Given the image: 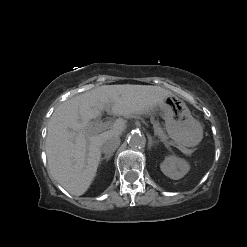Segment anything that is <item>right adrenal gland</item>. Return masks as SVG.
Segmentation results:
<instances>
[{"mask_svg": "<svg viewBox=\"0 0 247 247\" xmlns=\"http://www.w3.org/2000/svg\"><path fill=\"white\" fill-rule=\"evenodd\" d=\"M111 157H112V154H110V155H105L104 157L101 158V161H102V160H105V159H106V161H108Z\"/></svg>", "mask_w": 247, "mask_h": 247, "instance_id": "2a0ac1e0", "label": "right adrenal gland"}]
</instances>
